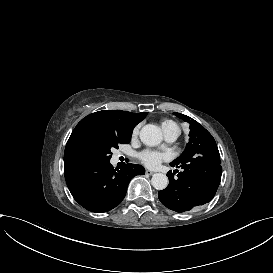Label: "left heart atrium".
<instances>
[{"label":"left heart atrium","instance_id":"left-heart-atrium-1","mask_svg":"<svg viewBox=\"0 0 273 273\" xmlns=\"http://www.w3.org/2000/svg\"><path fill=\"white\" fill-rule=\"evenodd\" d=\"M142 162L148 166H156L163 158V156L151 150H145L140 154Z\"/></svg>","mask_w":273,"mask_h":273}]
</instances>
